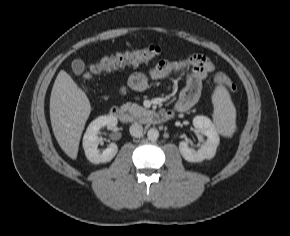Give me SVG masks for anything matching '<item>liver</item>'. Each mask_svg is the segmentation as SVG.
<instances>
[{
    "label": "liver",
    "mask_w": 290,
    "mask_h": 236,
    "mask_svg": "<svg viewBox=\"0 0 290 236\" xmlns=\"http://www.w3.org/2000/svg\"><path fill=\"white\" fill-rule=\"evenodd\" d=\"M90 112L87 95L67 72L61 70L51 91L50 120L59 146L71 159L77 158L80 138Z\"/></svg>",
    "instance_id": "liver-1"
}]
</instances>
